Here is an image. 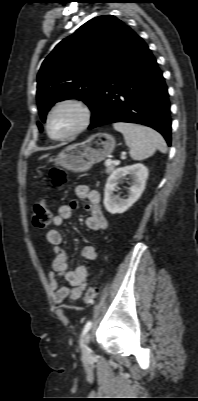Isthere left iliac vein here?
<instances>
[{
	"mask_svg": "<svg viewBox=\"0 0 198 401\" xmlns=\"http://www.w3.org/2000/svg\"><path fill=\"white\" fill-rule=\"evenodd\" d=\"M89 340H90V334L87 333V334L84 336V339H83V343H84V345H83V356H84L85 358H88V357H90V355H91L90 350H89V347H88Z\"/></svg>",
	"mask_w": 198,
	"mask_h": 401,
	"instance_id": "1",
	"label": "left iliac vein"
}]
</instances>
